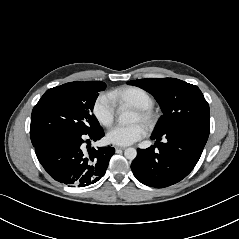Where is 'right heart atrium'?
I'll return each instance as SVG.
<instances>
[{
  "instance_id": "d8ad5b80",
  "label": "right heart atrium",
  "mask_w": 239,
  "mask_h": 239,
  "mask_svg": "<svg viewBox=\"0 0 239 239\" xmlns=\"http://www.w3.org/2000/svg\"><path fill=\"white\" fill-rule=\"evenodd\" d=\"M92 112L103 126H110L115 118V104L107 94H100L94 101Z\"/></svg>"
}]
</instances>
